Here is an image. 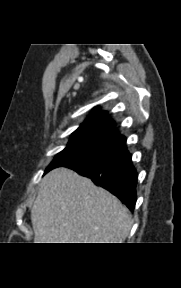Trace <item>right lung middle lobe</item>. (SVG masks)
<instances>
[{"mask_svg":"<svg viewBox=\"0 0 181 288\" xmlns=\"http://www.w3.org/2000/svg\"><path fill=\"white\" fill-rule=\"evenodd\" d=\"M113 157L112 152L103 148L85 142L69 141L66 148L55 156L45 173L53 168L67 166L81 161H98Z\"/></svg>","mask_w":181,"mask_h":288,"instance_id":"obj_1","label":"right lung middle lobe"}]
</instances>
